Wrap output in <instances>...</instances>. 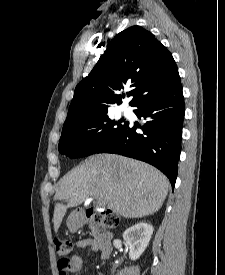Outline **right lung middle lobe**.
<instances>
[{
    "label": "right lung middle lobe",
    "instance_id": "obj_1",
    "mask_svg": "<svg viewBox=\"0 0 225 275\" xmlns=\"http://www.w3.org/2000/svg\"><path fill=\"white\" fill-rule=\"evenodd\" d=\"M107 112L81 119L63 127L59 152L70 158L95 154L103 145L120 134L128 122L111 120Z\"/></svg>",
    "mask_w": 225,
    "mask_h": 275
}]
</instances>
